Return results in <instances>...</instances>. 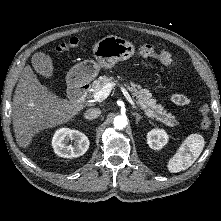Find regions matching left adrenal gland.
<instances>
[{
	"instance_id": "1",
	"label": "left adrenal gland",
	"mask_w": 221,
	"mask_h": 221,
	"mask_svg": "<svg viewBox=\"0 0 221 221\" xmlns=\"http://www.w3.org/2000/svg\"><path fill=\"white\" fill-rule=\"evenodd\" d=\"M132 115L136 116V124H138L139 121L141 120L142 116L139 115L138 113H133Z\"/></svg>"
}]
</instances>
